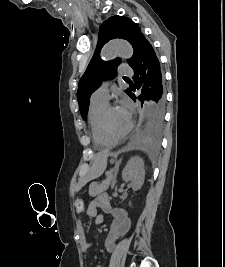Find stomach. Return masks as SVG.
Masks as SVG:
<instances>
[{
  "mask_svg": "<svg viewBox=\"0 0 225 267\" xmlns=\"http://www.w3.org/2000/svg\"><path fill=\"white\" fill-rule=\"evenodd\" d=\"M106 158H107V156H105L104 158H103V160H101L99 163H98V165L96 166V171H100V170H102V168L104 167V165H106Z\"/></svg>",
  "mask_w": 225,
  "mask_h": 267,
  "instance_id": "0dacf381",
  "label": "stomach"
}]
</instances>
